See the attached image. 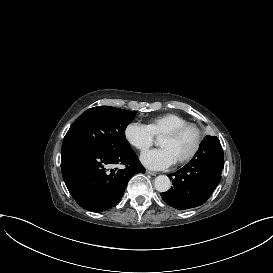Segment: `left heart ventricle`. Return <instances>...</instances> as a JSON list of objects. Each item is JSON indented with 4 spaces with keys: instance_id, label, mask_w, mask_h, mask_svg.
<instances>
[{
    "instance_id": "1",
    "label": "left heart ventricle",
    "mask_w": 273,
    "mask_h": 273,
    "mask_svg": "<svg viewBox=\"0 0 273 273\" xmlns=\"http://www.w3.org/2000/svg\"><path fill=\"white\" fill-rule=\"evenodd\" d=\"M195 135L196 131L190 129L175 137L160 138L158 144L160 147L168 149L175 161L178 162L190 152Z\"/></svg>"
}]
</instances>
